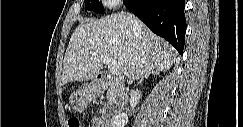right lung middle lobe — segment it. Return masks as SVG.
<instances>
[{"label": "right lung middle lobe", "mask_w": 243, "mask_h": 127, "mask_svg": "<svg viewBox=\"0 0 243 127\" xmlns=\"http://www.w3.org/2000/svg\"><path fill=\"white\" fill-rule=\"evenodd\" d=\"M87 10L101 13L103 12V6L99 3V0H85V11Z\"/></svg>", "instance_id": "right-lung-middle-lobe-1"}]
</instances>
